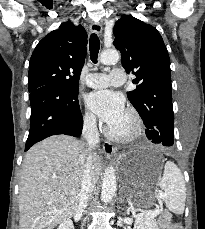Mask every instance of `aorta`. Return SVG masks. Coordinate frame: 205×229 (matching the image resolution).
<instances>
[{
	"instance_id": "obj_1",
	"label": "aorta",
	"mask_w": 205,
	"mask_h": 229,
	"mask_svg": "<svg viewBox=\"0 0 205 229\" xmlns=\"http://www.w3.org/2000/svg\"><path fill=\"white\" fill-rule=\"evenodd\" d=\"M120 59V54L115 49L104 50L100 54V62L104 65H111L118 62ZM116 175L115 170L112 166L105 170L103 181H102V191L101 200L103 203L111 202L115 192H116Z\"/></svg>"
}]
</instances>
